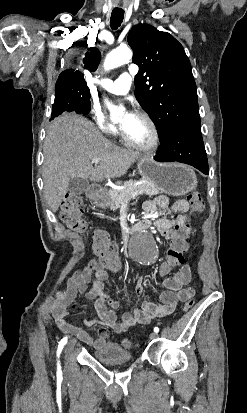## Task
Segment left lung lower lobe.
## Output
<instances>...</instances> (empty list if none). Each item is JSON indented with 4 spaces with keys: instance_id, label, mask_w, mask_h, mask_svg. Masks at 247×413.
Instances as JSON below:
<instances>
[{
    "instance_id": "0a47b994",
    "label": "left lung lower lobe",
    "mask_w": 247,
    "mask_h": 413,
    "mask_svg": "<svg viewBox=\"0 0 247 413\" xmlns=\"http://www.w3.org/2000/svg\"><path fill=\"white\" fill-rule=\"evenodd\" d=\"M161 145L154 157L158 162L189 164L204 174H209L207 155L201 130L181 128L160 140Z\"/></svg>"
}]
</instances>
